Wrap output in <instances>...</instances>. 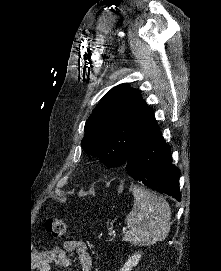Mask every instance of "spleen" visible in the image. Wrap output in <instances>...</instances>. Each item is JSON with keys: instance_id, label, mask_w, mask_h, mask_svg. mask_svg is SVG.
I'll return each instance as SVG.
<instances>
[{"instance_id": "spleen-1", "label": "spleen", "mask_w": 221, "mask_h": 271, "mask_svg": "<svg viewBox=\"0 0 221 271\" xmlns=\"http://www.w3.org/2000/svg\"><path fill=\"white\" fill-rule=\"evenodd\" d=\"M134 205L126 215L128 233L123 241L133 245H153L163 241L171 225V207L161 195L149 193L141 187H134Z\"/></svg>"}]
</instances>
